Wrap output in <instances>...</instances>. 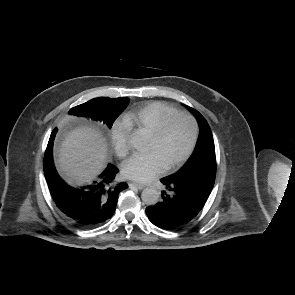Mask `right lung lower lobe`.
I'll return each mask as SVG.
<instances>
[{"label":"right lung lower lobe","instance_id":"98d812e1","mask_svg":"<svg viewBox=\"0 0 295 295\" xmlns=\"http://www.w3.org/2000/svg\"><path fill=\"white\" fill-rule=\"evenodd\" d=\"M56 131L53 130L50 136L44 159H52ZM118 171L117 167L108 164L97 181L78 188L68 185L56 170L45 177L56 205L67 219L78 227L93 228L112 217L119 193L128 188L125 182L116 180Z\"/></svg>","mask_w":295,"mask_h":295}]
</instances>
